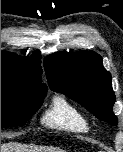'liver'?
Instances as JSON below:
<instances>
[{
	"mask_svg": "<svg viewBox=\"0 0 123 152\" xmlns=\"http://www.w3.org/2000/svg\"><path fill=\"white\" fill-rule=\"evenodd\" d=\"M1 152H64L61 149L57 148H38L32 145H22L19 143H6L1 144Z\"/></svg>",
	"mask_w": 123,
	"mask_h": 152,
	"instance_id": "6515ba94",
	"label": "liver"
}]
</instances>
